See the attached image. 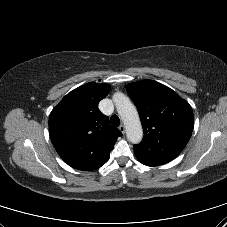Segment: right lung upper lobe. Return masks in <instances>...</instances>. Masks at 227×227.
<instances>
[{"mask_svg": "<svg viewBox=\"0 0 227 227\" xmlns=\"http://www.w3.org/2000/svg\"><path fill=\"white\" fill-rule=\"evenodd\" d=\"M108 84L90 82L68 93L51 111L49 134L60 157L78 170L98 168L122 133L109 124L98 103Z\"/></svg>", "mask_w": 227, "mask_h": 227, "instance_id": "obj_1", "label": "right lung upper lobe"}]
</instances>
